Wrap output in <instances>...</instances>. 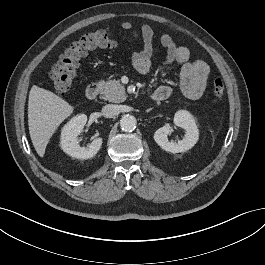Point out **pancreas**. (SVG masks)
Wrapping results in <instances>:
<instances>
[{
    "label": "pancreas",
    "instance_id": "obj_1",
    "mask_svg": "<svg viewBox=\"0 0 265 265\" xmlns=\"http://www.w3.org/2000/svg\"><path fill=\"white\" fill-rule=\"evenodd\" d=\"M102 90V99L109 102L120 103L126 100L127 95L125 88L121 85L119 80H109L107 82H98Z\"/></svg>",
    "mask_w": 265,
    "mask_h": 265
}]
</instances>
